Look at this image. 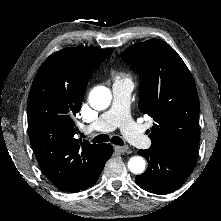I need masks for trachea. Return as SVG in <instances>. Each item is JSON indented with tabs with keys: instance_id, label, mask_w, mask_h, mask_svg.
<instances>
[{
	"instance_id": "3493384b",
	"label": "trachea",
	"mask_w": 221,
	"mask_h": 221,
	"mask_svg": "<svg viewBox=\"0 0 221 221\" xmlns=\"http://www.w3.org/2000/svg\"><path fill=\"white\" fill-rule=\"evenodd\" d=\"M84 137V136H83ZM111 141L113 144L116 145H124L123 140L118 136H113L111 139L107 134H100L92 139L93 142L100 143V142H108Z\"/></svg>"
}]
</instances>
